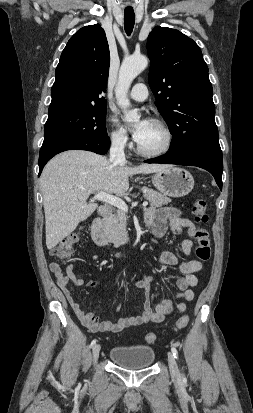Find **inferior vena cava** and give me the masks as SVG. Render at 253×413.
I'll return each mask as SVG.
<instances>
[{
  "instance_id": "602c4592",
  "label": "inferior vena cava",
  "mask_w": 253,
  "mask_h": 413,
  "mask_svg": "<svg viewBox=\"0 0 253 413\" xmlns=\"http://www.w3.org/2000/svg\"><path fill=\"white\" fill-rule=\"evenodd\" d=\"M125 141L123 138H115L112 140L110 147V162L114 165L125 163L124 154Z\"/></svg>"
}]
</instances>
